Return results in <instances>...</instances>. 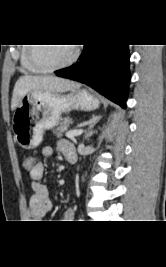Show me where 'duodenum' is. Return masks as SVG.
<instances>
[{"label": "duodenum", "mask_w": 166, "mask_h": 267, "mask_svg": "<svg viewBox=\"0 0 166 267\" xmlns=\"http://www.w3.org/2000/svg\"><path fill=\"white\" fill-rule=\"evenodd\" d=\"M69 162L72 163V164L75 163V162H76V158H74V157H70V158H69Z\"/></svg>", "instance_id": "duodenum-1"}]
</instances>
